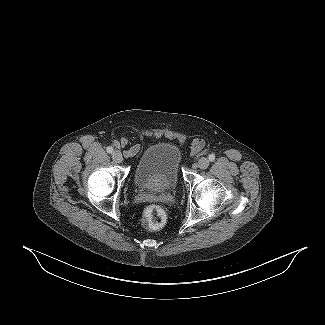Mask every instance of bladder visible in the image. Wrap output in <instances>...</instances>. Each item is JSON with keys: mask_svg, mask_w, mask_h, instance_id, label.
<instances>
[{"mask_svg": "<svg viewBox=\"0 0 325 325\" xmlns=\"http://www.w3.org/2000/svg\"><path fill=\"white\" fill-rule=\"evenodd\" d=\"M181 152L171 143L149 146L140 156L134 171L135 184L142 189L165 191L179 181Z\"/></svg>", "mask_w": 325, "mask_h": 325, "instance_id": "1", "label": "bladder"}]
</instances>
